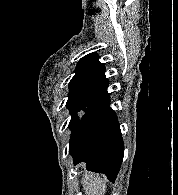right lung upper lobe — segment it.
Listing matches in <instances>:
<instances>
[{
    "mask_svg": "<svg viewBox=\"0 0 178 195\" xmlns=\"http://www.w3.org/2000/svg\"><path fill=\"white\" fill-rule=\"evenodd\" d=\"M75 72L69 83V96L99 97L106 93L105 65L98 61L97 54L91 53L80 59Z\"/></svg>",
    "mask_w": 178,
    "mask_h": 195,
    "instance_id": "cb5924a9",
    "label": "right lung upper lobe"
}]
</instances>
